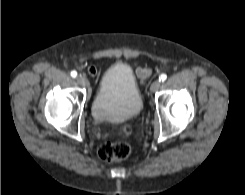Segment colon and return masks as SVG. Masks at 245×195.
Here are the masks:
<instances>
[{
	"label": "colon",
	"mask_w": 245,
	"mask_h": 195,
	"mask_svg": "<svg viewBox=\"0 0 245 195\" xmlns=\"http://www.w3.org/2000/svg\"><path fill=\"white\" fill-rule=\"evenodd\" d=\"M121 134L128 136L130 128L125 126L121 129ZM131 153V145L126 141L108 142L103 144L99 150V157L105 162H118L127 158Z\"/></svg>",
	"instance_id": "1"
}]
</instances>
